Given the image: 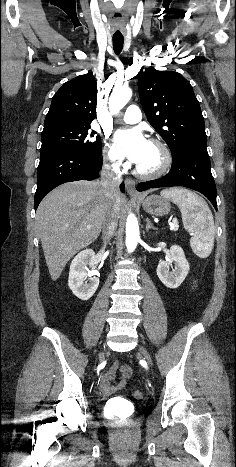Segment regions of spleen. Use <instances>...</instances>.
Segmentation results:
<instances>
[{
    "label": "spleen",
    "mask_w": 236,
    "mask_h": 467,
    "mask_svg": "<svg viewBox=\"0 0 236 467\" xmlns=\"http://www.w3.org/2000/svg\"><path fill=\"white\" fill-rule=\"evenodd\" d=\"M161 196L179 207L184 228L192 234L190 245L193 252L200 258H207L214 246L215 226L205 200L185 188L165 189Z\"/></svg>",
    "instance_id": "spleen-1"
}]
</instances>
